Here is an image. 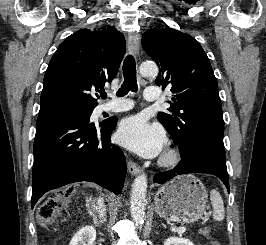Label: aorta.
I'll return each mask as SVG.
<instances>
[{"label":"aorta","instance_id":"1","mask_svg":"<svg viewBox=\"0 0 266 245\" xmlns=\"http://www.w3.org/2000/svg\"><path fill=\"white\" fill-rule=\"evenodd\" d=\"M141 74H151L156 76L158 66H140ZM147 175L141 173L137 179H134L130 195V213L135 225H142L145 217L146 197H147Z\"/></svg>","mask_w":266,"mask_h":245}]
</instances>
